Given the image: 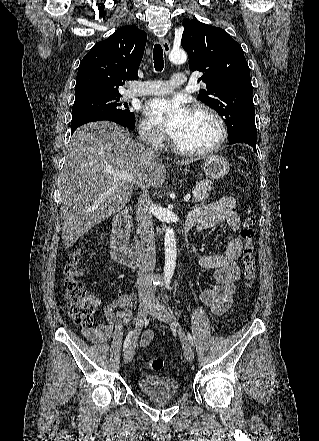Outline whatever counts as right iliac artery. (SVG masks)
<instances>
[{"label":"right iliac artery","instance_id":"obj_1","mask_svg":"<svg viewBox=\"0 0 319 441\" xmlns=\"http://www.w3.org/2000/svg\"><path fill=\"white\" fill-rule=\"evenodd\" d=\"M132 335H133V331H130L129 333H128V335L126 336V339H125V341H124V350L128 347V345H129V343H130V340H131V338H132Z\"/></svg>","mask_w":319,"mask_h":441}]
</instances>
